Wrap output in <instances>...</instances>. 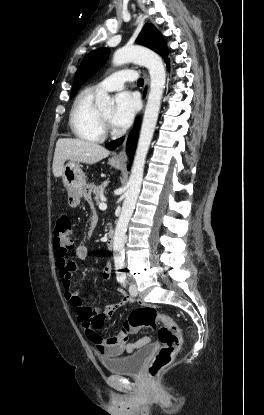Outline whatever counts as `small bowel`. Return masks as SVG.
<instances>
[{"label":"small bowel","mask_w":264,"mask_h":415,"mask_svg":"<svg viewBox=\"0 0 264 415\" xmlns=\"http://www.w3.org/2000/svg\"><path fill=\"white\" fill-rule=\"evenodd\" d=\"M93 218L96 219V221L98 220L97 213L94 210L91 213L90 221ZM90 227L92 226L90 225ZM88 254L89 247L84 243L79 244L75 249L77 261L69 260L67 257V252H62L61 250H58L56 252V263L60 270L61 281L64 288V298L68 302L76 318L79 320L84 333L94 343L101 357H103L104 359H108L118 357L124 352L132 353L139 347L146 345L149 342V338L143 337L134 343H126L122 339V332L119 335L112 337L107 341L102 340V338H100L98 341H94L91 338V336L96 334L95 331L92 329L90 319L95 309L86 308L83 305V302L81 300V291L80 289L74 288L72 283V273L79 268L78 261L86 259ZM110 272V265H103L100 269L101 277L99 281H106L110 276ZM119 294L121 296L119 301L108 303L101 308V311L107 317L113 316L119 310V308H121L124 305L131 304L135 301L133 297L127 295L124 291H120ZM123 327H125V323ZM126 330L131 333H136L139 329L134 327H127Z\"/></svg>","instance_id":"1"}]
</instances>
